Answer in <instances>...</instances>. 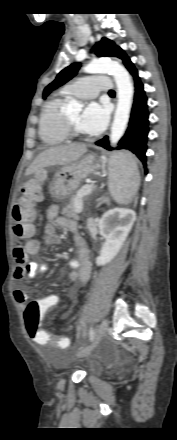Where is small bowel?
I'll use <instances>...</instances> for the list:
<instances>
[{
    "mask_svg": "<svg viewBox=\"0 0 177 440\" xmlns=\"http://www.w3.org/2000/svg\"><path fill=\"white\" fill-rule=\"evenodd\" d=\"M59 208L57 205H50L45 211V217L49 221H54L56 226L70 230L76 229V223L68 218L58 216ZM56 226L47 223L43 226V243L46 246L56 245L61 242V238L56 231ZM75 242L78 248V259H73L69 262L72 270L68 274V278L72 283L86 284L91 272V264L89 261V249L83 238L77 236ZM35 253L38 249L37 243L31 242ZM18 251L14 249V257L17 263L14 277L17 281H21L25 277L33 278L49 271V266L46 263L27 262L26 258H21L17 255ZM15 301L21 306L25 307L27 302V293L22 289H16L13 293ZM44 298H61L59 295L52 294ZM51 347V346H48ZM67 347V346H66Z\"/></svg>",
    "mask_w": 177,
    "mask_h": 440,
    "instance_id": "small-bowel-1",
    "label": "small bowel"
}]
</instances>
